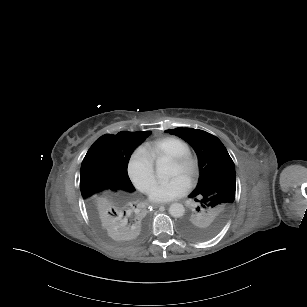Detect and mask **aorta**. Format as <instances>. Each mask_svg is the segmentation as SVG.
Listing matches in <instances>:
<instances>
[{
  "label": "aorta",
  "instance_id": "obj_1",
  "mask_svg": "<svg viewBox=\"0 0 307 307\" xmlns=\"http://www.w3.org/2000/svg\"><path fill=\"white\" fill-rule=\"evenodd\" d=\"M155 171L157 177L162 180H170V178L177 175L175 167L162 159L156 161ZM184 212L185 208L180 203H173L169 207V214L174 218L182 217Z\"/></svg>",
  "mask_w": 307,
  "mask_h": 307
}]
</instances>
